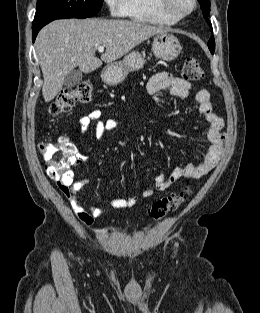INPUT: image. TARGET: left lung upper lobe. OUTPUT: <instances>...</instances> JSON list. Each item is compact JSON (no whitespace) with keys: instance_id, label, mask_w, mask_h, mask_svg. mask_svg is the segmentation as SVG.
I'll use <instances>...</instances> for the list:
<instances>
[{"instance_id":"left-lung-upper-lobe-1","label":"left lung upper lobe","mask_w":260,"mask_h":313,"mask_svg":"<svg viewBox=\"0 0 260 313\" xmlns=\"http://www.w3.org/2000/svg\"><path fill=\"white\" fill-rule=\"evenodd\" d=\"M201 7H202V11H203V15L207 20V23L210 25L211 27V23L208 21V15L210 13V0H198ZM208 47L211 51V53H214L215 50V41H214V37L212 36L210 38V40L208 41Z\"/></svg>"}]
</instances>
